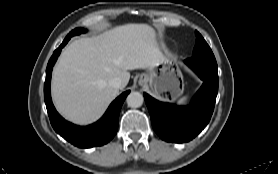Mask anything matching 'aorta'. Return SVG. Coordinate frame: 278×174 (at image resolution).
Here are the masks:
<instances>
[{"mask_svg":"<svg viewBox=\"0 0 278 174\" xmlns=\"http://www.w3.org/2000/svg\"><path fill=\"white\" fill-rule=\"evenodd\" d=\"M126 102H127L129 107L138 108V107L142 106V104L144 102V98H143V95L140 92H131L127 96Z\"/></svg>","mask_w":278,"mask_h":174,"instance_id":"762f6f07","label":"aorta"}]
</instances>
